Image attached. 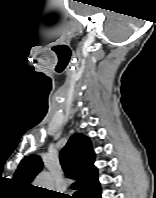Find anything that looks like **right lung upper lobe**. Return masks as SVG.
<instances>
[{
  "mask_svg": "<svg viewBox=\"0 0 156 198\" xmlns=\"http://www.w3.org/2000/svg\"><path fill=\"white\" fill-rule=\"evenodd\" d=\"M94 160L95 154L90 139L80 133L74 134L60 153L66 176L77 180L72 187L82 190L84 198H89L100 189ZM42 165V160L37 155L25 157L14 174V180L29 185L41 171Z\"/></svg>",
  "mask_w": 156,
  "mask_h": 198,
  "instance_id": "right-lung-upper-lobe-1",
  "label": "right lung upper lobe"
}]
</instances>
